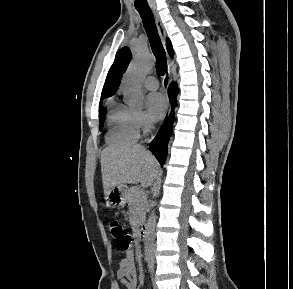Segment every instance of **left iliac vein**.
Masks as SVG:
<instances>
[{
  "instance_id": "4c4485c4",
  "label": "left iliac vein",
  "mask_w": 293,
  "mask_h": 289,
  "mask_svg": "<svg viewBox=\"0 0 293 289\" xmlns=\"http://www.w3.org/2000/svg\"><path fill=\"white\" fill-rule=\"evenodd\" d=\"M153 289H158V286H157L156 283H155V279H154V277H153Z\"/></svg>"
}]
</instances>
